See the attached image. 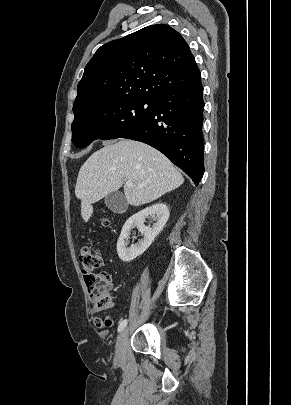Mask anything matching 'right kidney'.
Masks as SVG:
<instances>
[{"label":"right kidney","mask_w":291,"mask_h":405,"mask_svg":"<svg viewBox=\"0 0 291 405\" xmlns=\"http://www.w3.org/2000/svg\"><path fill=\"white\" fill-rule=\"evenodd\" d=\"M169 215L168 207L163 203H157L131 216L125 222L117 241L119 258L124 262H130L142 255L152 244L154 238L161 232ZM147 217H152L156 221L151 228L144 225ZM134 227L138 228L144 238L139 243L132 244L129 248H126V241L129 238L130 230Z\"/></svg>","instance_id":"obj_1"}]
</instances>
